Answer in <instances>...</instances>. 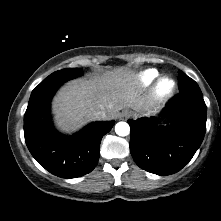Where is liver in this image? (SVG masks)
<instances>
[{
  "instance_id": "obj_1",
  "label": "liver",
  "mask_w": 221,
  "mask_h": 221,
  "mask_svg": "<svg viewBox=\"0 0 221 221\" xmlns=\"http://www.w3.org/2000/svg\"><path fill=\"white\" fill-rule=\"evenodd\" d=\"M136 85L134 73L125 68L89 80H73L54 97L55 123L60 130L71 133L94 120V111H104L107 120L125 107L140 111L146 104Z\"/></svg>"
}]
</instances>
